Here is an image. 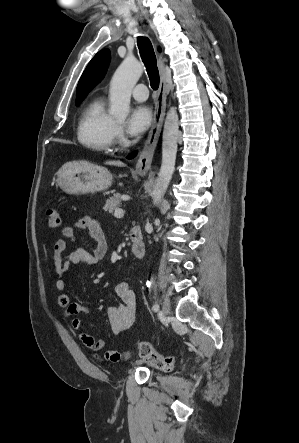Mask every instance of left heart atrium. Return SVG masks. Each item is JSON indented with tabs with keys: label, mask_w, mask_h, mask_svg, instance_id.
<instances>
[{
	"label": "left heart atrium",
	"mask_w": 299,
	"mask_h": 443,
	"mask_svg": "<svg viewBox=\"0 0 299 443\" xmlns=\"http://www.w3.org/2000/svg\"><path fill=\"white\" fill-rule=\"evenodd\" d=\"M152 113L149 107L138 105L132 109L127 122V132L131 136L144 133L151 125Z\"/></svg>",
	"instance_id": "39dd6f15"
}]
</instances>
